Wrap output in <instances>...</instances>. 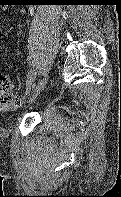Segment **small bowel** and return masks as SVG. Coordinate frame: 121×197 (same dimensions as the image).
Returning a JSON list of instances; mask_svg holds the SVG:
<instances>
[{
  "label": "small bowel",
  "instance_id": "c3829d8e",
  "mask_svg": "<svg viewBox=\"0 0 121 197\" xmlns=\"http://www.w3.org/2000/svg\"><path fill=\"white\" fill-rule=\"evenodd\" d=\"M25 12L24 8L21 9L20 13L23 14Z\"/></svg>",
  "mask_w": 121,
  "mask_h": 197
}]
</instances>
